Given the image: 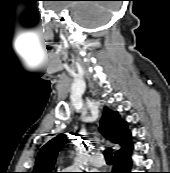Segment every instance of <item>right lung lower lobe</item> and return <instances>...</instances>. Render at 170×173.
<instances>
[{
	"label": "right lung lower lobe",
	"mask_w": 170,
	"mask_h": 173,
	"mask_svg": "<svg viewBox=\"0 0 170 173\" xmlns=\"http://www.w3.org/2000/svg\"><path fill=\"white\" fill-rule=\"evenodd\" d=\"M133 145L131 144L127 148L121 151H117L114 154L115 164L112 173H132L131 172V152Z\"/></svg>",
	"instance_id": "right-lung-lower-lobe-1"
}]
</instances>
